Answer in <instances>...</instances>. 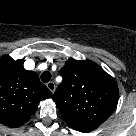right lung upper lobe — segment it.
Instances as JSON below:
<instances>
[{"label": "right lung upper lobe", "mask_w": 136, "mask_h": 136, "mask_svg": "<svg viewBox=\"0 0 136 136\" xmlns=\"http://www.w3.org/2000/svg\"><path fill=\"white\" fill-rule=\"evenodd\" d=\"M24 60L0 59V123L15 128L27 122L41 100L52 97L38 75L25 70Z\"/></svg>", "instance_id": "cb5924a9"}]
</instances>
